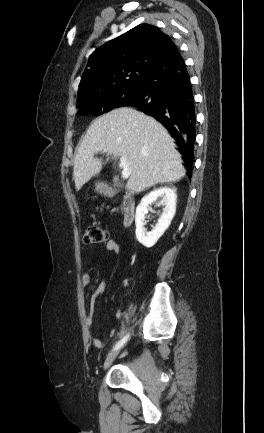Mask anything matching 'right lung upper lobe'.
<instances>
[{"label": "right lung upper lobe", "mask_w": 264, "mask_h": 433, "mask_svg": "<svg viewBox=\"0 0 264 433\" xmlns=\"http://www.w3.org/2000/svg\"><path fill=\"white\" fill-rule=\"evenodd\" d=\"M178 51L172 39L149 24H140L99 47L89 57L78 100L123 86L140 85L153 70Z\"/></svg>", "instance_id": "1"}]
</instances>
